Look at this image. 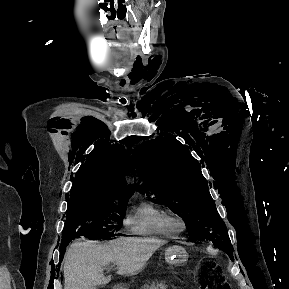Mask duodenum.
Wrapping results in <instances>:
<instances>
[{
	"label": "duodenum",
	"mask_w": 289,
	"mask_h": 289,
	"mask_svg": "<svg viewBox=\"0 0 289 289\" xmlns=\"http://www.w3.org/2000/svg\"><path fill=\"white\" fill-rule=\"evenodd\" d=\"M112 289H122L121 286H114Z\"/></svg>",
	"instance_id": "duodenum-1"
}]
</instances>
